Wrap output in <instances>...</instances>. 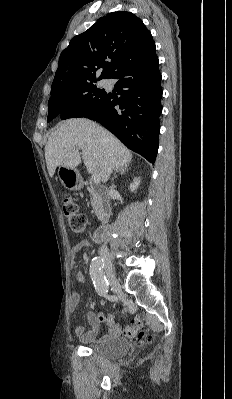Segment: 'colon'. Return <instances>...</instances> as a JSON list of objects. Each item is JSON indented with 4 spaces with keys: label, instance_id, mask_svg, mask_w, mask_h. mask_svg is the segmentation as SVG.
<instances>
[{
    "label": "colon",
    "instance_id": "1",
    "mask_svg": "<svg viewBox=\"0 0 232 399\" xmlns=\"http://www.w3.org/2000/svg\"><path fill=\"white\" fill-rule=\"evenodd\" d=\"M62 213H65L64 220H68L71 232H77V235H82V232H84V240H89V229H84V227H89L90 223L85 222L86 215H76V213H79V208H76V199L73 198V194H70L69 189L65 190Z\"/></svg>",
    "mask_w": 232,
    "mask_h": 399
}]
</instances>
